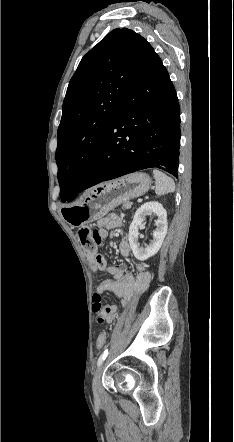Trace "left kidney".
I'll use <instances>...</instances> for the list:
<instances>
[{"label": "left kidney", "instance_id": "obj_1", "mask_svg": "<svg viewBox=\"0 0 234 442\" xmlns=\"http://www.w3.org/2000/svg\"><path fill=\"white\" fill-rule=\"evenodd\" d=\"M152 213L157 216V220L155 221L156 230L153 232V241L145 248L139 247V226L143 223L145 215ZM166 233L167 212L162 204L155 201L143 204L136 211L129 227V244L136 259L145 261L155 255L161 248Z\"/></svg>", "mask_w": 234, "mask_h": 442}]
</instances>
